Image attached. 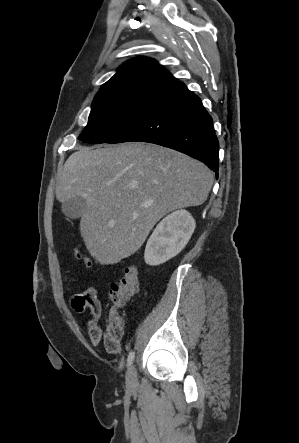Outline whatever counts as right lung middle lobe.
Instances as JSON below:
<instances>
[{
	"mask_svg": "<svg viewBox=\"0 0 299 443\" xmlns=\"http://www.w3.org/2000/svg\"><path fill=\"white\" fill-rule=\"evenodd\" d=\"M166 89L156 87L122 88L96 94L88 124L78 139L104 143L129 127Z\"/></svg>",
	"mask_w": 299,
	"mask_h": 443,
	"instance_id": "dd1d6c3e",
	"label": "right lung middle lobe"
}]
</instances>
